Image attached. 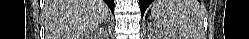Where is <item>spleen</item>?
Listing matches in <instances>:
<instances>
[{
  "instance_id": "obj_1",
  "label": "spleen",
  "mask_w": 249,
  "mask_h": 39,
  "mask_svg": "<svg viewBox=\"0 0 249 39\" xmlns=\"http://www.w3.org/2000/svg\"><path fill=\"white\" fill-rule=\"evenodd\" d=\"M151 15L162 31L185 39H203L204 13L197 0H156Z\"/></svg>"
}]
</instances>
